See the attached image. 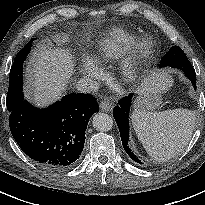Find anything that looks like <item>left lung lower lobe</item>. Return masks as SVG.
Here are the masks:
<instances>
[{"label":"left lung lower lobe","mask_w":205,"mask_h":205,"mask_svg":"<svg viewBox=\"0 0 205 205\" xmlns=\"http://www.w3.org/2000/svg\"><path fill=\"white\" fill-rule=\"evenodd\" d=\"M184 72V74L188 77V79L193 84L196 90V73L192 66H184V67H177ZM133 94L121 99L119 101V106H116L113 110V117L118 125L120 136L122 140L123 147L127 154L130 156L132 160L137 163L141 164V161L133 154L131 149L128 146V139H129V110L131 106V99Z\"/></svg>","instance_id":"0a47b994"}]
</instances>
